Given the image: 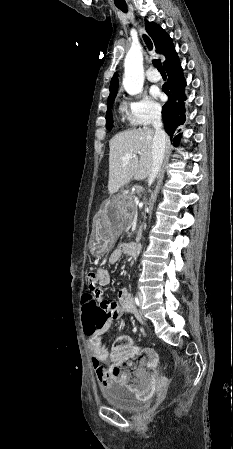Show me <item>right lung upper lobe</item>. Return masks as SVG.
Masks as SVG:
<instances>
[{
	"instance_id": "1",
	"label": "right lung upper lobe",
	"mask_w": 233,
	"mask_h": 449,
	"mask_svg": "<svg viewBox=\"0 0 233 449\" xmlns=\"http://www.w3.org/2000/svg\"><path fill=\"white\" fill-rule=\"evenodd\" d=\"M146 31L152 37L157 53L163 54L166 58L163 66H168L176 63L178 59L177 52L175 51L172 39L169 35L156 23L149 22L145 19ZM118 90V74L115 73L110 83V95L117 94ZM109 95V96H110Z\"/></svg>"
}]
</instances>
